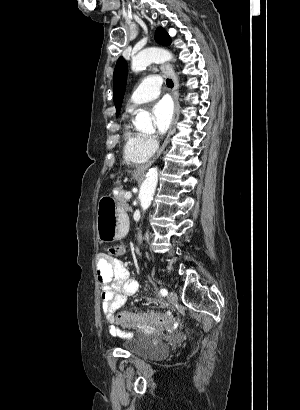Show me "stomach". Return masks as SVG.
<instances>
[{
    "label": "stomach",
    "instance_id": "0dacf381",
    "mask_svg": "<svg viewBox=\"0 0 300 410\" xmlns=\"http://www.w3.org/2000/svg\"><path fill=\"white\" fill-rule=\"evenodd\" d=\"M96 227L99 240H120L127 233L128 216L113 198L102 197L98 203Z\"/></svg>",
    "mask_w": 300,
    "mask_h": 410
}]
</instances>
